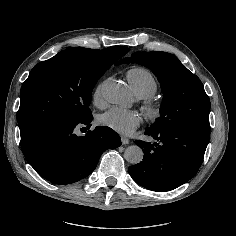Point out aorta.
I'll list each match as a JSON object with an SVG mask.
<instances>
[{"label": "aorta", "mask_w": 236, "mask_h": 236, "mask_svg": "<svg viewBox=\"0 0 236 236\" xmlns=\"http://www.w3.org/2000/svg\"><path fill=\"white\" fill-rule=\"evenodd\" d=\"M103 95L109 103H122L127 98L125 87L116 81L104 85ZM124 156L129 163L134 165L142 161L144 153L139 146L131 145L125 150Z\"/></svg>", "instance_id": "obj_1"}]
</instances>
